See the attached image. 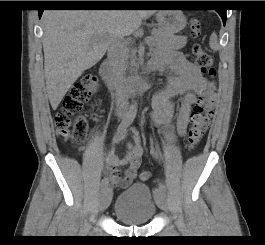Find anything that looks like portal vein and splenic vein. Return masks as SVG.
I'll use <instances>...</instances> for the list:
<instances>
[{
    "instance_id": "18ae733b",
    "label": "portal vein and splenic vein",
    "mask_w": 265,
    "mask_h": 245,
    "mask_svg": "<svg viewBox=\"0 0 265 245\" xmlns=\"http://www.w3.org/2000/svg\"><path fill=\"white\" fill-rule=\"evenodd\" d=\"M145 42H146V43H150V42H151V39H150V38H146V39H145Z\"/></svg>"
}]
</instances>
